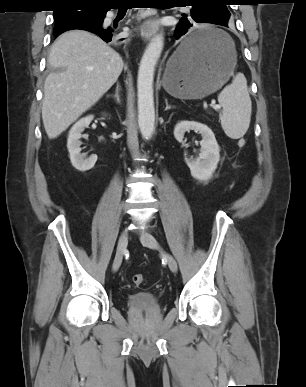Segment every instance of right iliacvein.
<instances>
[{"instance_id":"right-iliac-vein-1","label":"right iliac vein","mask_w":306,"mask_h":387,"mask_svg":"<svg viewBox=\"0 0 306 387\" xmlns=\"http://www.w3.org/2000/svg\"><path fill=\"white\" fill-rule=\"evenodd\" d=\"M127 243H128V233L126 230H124L119 236L117 251L113 262V271H117L120 268L123 260V256L126 251Z\"/></svg>"}]
</instances>
